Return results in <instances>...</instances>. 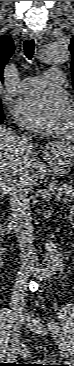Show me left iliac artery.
Returning a JSON list of instances; mask_svg holds the SVG:
<instances>
[{
  "mask_svg": "<svg viewBox=\"0 0 74 366\" xmlns=\"http://www.w3.org/2000/svg\"><path fill=\"white\" fill-rule=\"evenodd\" d=\"M48 326L50 327L51 331L56 334V335H59L60 333V327L58 325V323L54 320H51L49 323H48ZM65 343V342H64Z\"/></svg>",
  "mask_w": 74,
  "mask_h": 366,
  "instance_id": "1",
  "label": "left iliac artery"
}]
</instances>
